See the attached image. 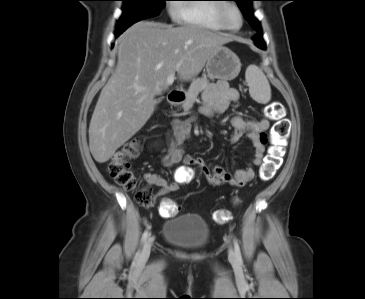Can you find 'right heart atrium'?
Returning <instances> with one entry per match:
<instances>
[{
  "mask_svg": "<svg viewBox=\"0 0 365 299\" xmlns=\"http://www.w3.org/2000/svg\"><path fill=\"white\" fill-rule=\"evenodd\" d=\"M171 15L176 16V11H175V8L173 6H171Z\"/></svg>",
  "mask_w": 365,
  "mask_h": 299,
  "instance_id": "right-heart-atrium-1",
  "label": "right heart atrium"
}]
</instances>
